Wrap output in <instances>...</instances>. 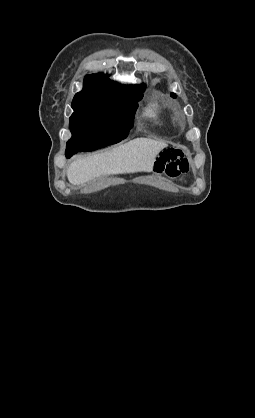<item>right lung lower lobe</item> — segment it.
Listing matches in <instances>:
<instances>
[{
	"label": "right lung lower lobe",
	"instance_id": "98d812e1",
	"mask_svg": "<svg viewBox=\"0 0 255 418\" xmlns=\"http://www.w3.org/2000/svg\"><path fill=\"white\" fill-rule=\"evenodd\" d=\"M72 155V153L71 152H69L68 150H66V156L67 157H70Z\"/></svg>",
	"mask_w": 255,
	"mask_h": 418
}]
</instances>
